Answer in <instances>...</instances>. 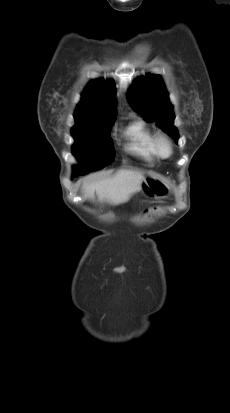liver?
I'll return each mask as SVG.
<instances>
[{
  "instance_id": "1",
  "label": "liver",
  "mask_w": 230,
  "mask_h": 413,
  "mask_svg": "<svg viewBox=\"0 0 230 413\" xmlns=\"http://www.w3.org/2000/svg\"><path fill=\"white\" fill-rule=\"evenodd\" d=\"M143 179L142 172L122 169L109 178L86 184L83 187V192L88 198H92L96 192L99 200L118 205L127 202L141 190Z\"/></svg>"
}]
</instances>
